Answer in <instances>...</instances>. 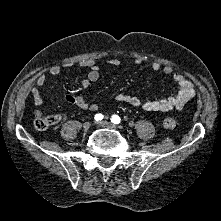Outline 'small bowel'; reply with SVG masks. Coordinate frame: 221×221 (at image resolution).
Segmentation results:
<instances>
[{
  "label": "small bowel",
  "instance_id": "obj_1",
  "mask_svg": "<svg viewBox=\"0 0 221 221\" xmlns=\"http://www.w3.org/2000/svg\"><path fill=\"white\" fill-rule=\"evenodd\" d=\"M107 63L113 66H118L120 62L117 59H110L107 61ZM135 63L140 64L141 61L139 59H136ZM71 65L72 63H68V66ZM78 66L88 69L86 77L81 82V87L83 89L89 88L98 81L99 66L94 59L80 60L78 62ZM150 67L155 72L162 71L165 75H170L172 77V80L177 85V92L174 95L165 98L143 99L138 96L121 92L116 95V100L136 108H141L145 111L167 112L171 110L182 109L183 106L191 98H193L195 94L193 84L183 74L179 72H174L171 67L162 66L158 62H152ZM61 72L62 70L59 66H52L50 68V74L54 76L61 74ZM45 84V76L40 75L36 80V84L30 88V94L32 96L33 103L37 107L42 106L44 103V100L40 93V89L44 88ZM63 96L69 103L74 104L81 109L92 111L98 110V105L89 103L86 100L85 96L81 93H64ZM55 116L58 121L64 118L63 114H56Z\"/></svg>",
  "mask_w": 221,
  "mask_h": 221
}]
</instances>
